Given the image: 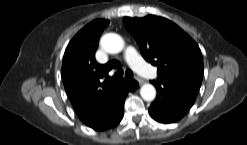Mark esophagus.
<instances>
[{"instance_id":"obj_1","label":"esophagus","mask_w":247,"mask_h":145,"mask_svg":"<svg viewBox=\"0 0 247 145\" xmlns=\"http://www.w3.org/2000/svg\"><path fill=\"white\" fill-rule=\"evenodd\" d=\"M136 80L138 81L139 85L144 84V80L140 77H136Z\"/></svg>"}]
</instances>
